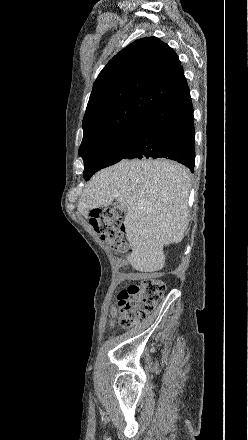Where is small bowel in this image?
<instances>
[{
    "label": "small bowel",
    "mask_w": 248,
    "mask_h": 440,
    "mask_svg": "<svg viewBox=\"0 0 248 440\" xmlns=\"http://www.w3.org/2000/svg\"><path fill=\"white\" fill-rule=\"evenodd\" d=\"M117 315V311L115 307H111L110 308V312H109V316H110V321L109 324L112 326L113 325V319L116 317Z\"/></svg>",
    "instance_id": "small-bowel-1"
}]
</instances>
